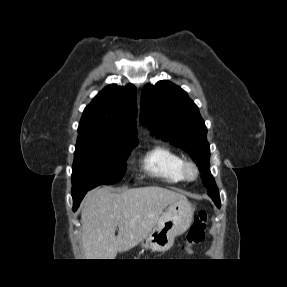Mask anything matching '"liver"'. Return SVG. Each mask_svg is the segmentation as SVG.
Wrapping results in <instances>:
<instances>
[{
  "label": "liver",
  "mask_w": 287,
  "mask_h": 287,
  "mask_svg": "<svg viewBox=\"0 0 287 287\" xmlns=\"http://www.w3.org/2000/svg\"><path fill=\"white\" fill-rule=\"evenodd\" d=\"M184 199L183 194L158 186L121 193L108 187L89 192L81 211L85 259H115L118 252L133 248L148 236L168 205Z\"/></svg>",
  "instance_id": "liver-1"
}]
</instances>
